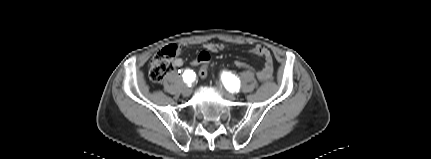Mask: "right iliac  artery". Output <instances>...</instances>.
I'll return each instance as SVG.
<instances>
[{
  "label": "right iliac artery",
  "instance_id": "right-iliac-artery-1",
  "mask_svg": "<svg viewBox=\"0 0 431 159\" xmlns=\"http://www.w3.org/2000/svg\"><path fill=\"white\" fill-rule=\"evenodd\" d=\"M182 77H183L184 82L190 86L191 82L195 78V73L193 72V70L187 69L184 71Z\"/></svg>",
  "mask_w": 431,
  "mask_h": 159
}]
</instances>
